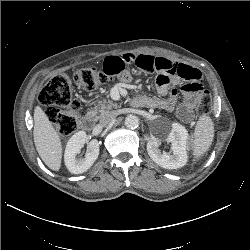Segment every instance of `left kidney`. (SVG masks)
I'll return each instance as SVG.
<instances>
[{
  "instance_id": "obj_1",
  "label": "left kidney",
  "mask_w": 250,
  "mask_h": 250,
  "mask_svg": "<svg viewBox=\"0 0 250 250\" xmlns=\"http://www.w3.org/2000/svg\"><path fill=\"white\" fill-rule=\"evenodd\" d=\"M165 141L171 145L172 153L160 150L162 139L152 137L147 143V152L151 159L165 169H177L186 165L188 132L179 123H172L171 130Z\"/></svg>"
}]
</instances>
